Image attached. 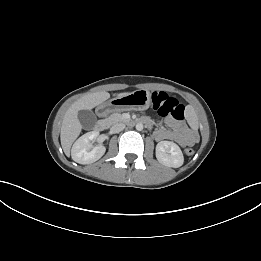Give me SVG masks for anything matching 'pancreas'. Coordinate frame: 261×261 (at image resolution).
Instances as JSON below:
<instances>
[{
  "label": "pancreas",
  "instance_id": "cf45deb5",
  "mask_svg": "<svg viewBox=\"0 0 261 261\" xmlns=\"http://www.w3.org/2000/svg\"><path fill=\"white\" fill-rule=\"evenodd\" d=\"M105 121L108 123V125H112L117 122L125 121V118L121 113H113L108 118H106Z\"/></svg>",
  "mask_w": 261,
  "mask_h": 261
}]
</instances>
